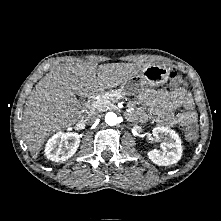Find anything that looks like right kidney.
Listing matches in <instances>:
<instances>
[{
  "mask_svg": "<svg viewBox=\"0 0 221 221\" xmlns=\"http://www.w3.org/2000/svg\"><path fill=\"white\" fill-rule=\"evenodd\" d=\"M80 137L78 133L58 132L46 143L45 155L49 160L63 162L74 155L79 147Z\"/></svg>",
  "mask_w": 221,
  "mask_h": 221,
  "instance_id": "ca27d5eb",
  "label": "right kidney"
}]
</instances>
